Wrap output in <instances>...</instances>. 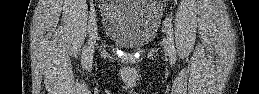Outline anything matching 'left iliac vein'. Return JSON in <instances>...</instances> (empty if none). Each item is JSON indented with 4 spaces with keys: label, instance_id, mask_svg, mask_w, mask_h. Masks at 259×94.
<instances>
[{
    "label": "left iliac vein",
    "instance_id": "1",
    "mask_svg": "<svg viewBox=\"0 0 259 94\" xmlns=\"http://www.w3.org/2000/svg\"><path fill=\"white\" fill-rule=\"evenodd\" d=\"M164 48H165V55L167 56L168 55V42L165 40L164 41Z\"/></svg>",
    "mask_w": 259,
    "mask_h": 94
}]
</instances>
